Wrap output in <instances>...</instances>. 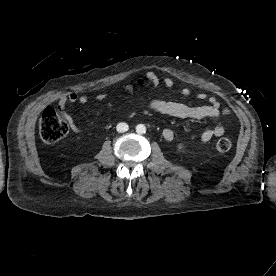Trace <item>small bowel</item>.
I'll return each mask as SVG.
<instances>
[{"mask_svg":"<svg viewBox=\"0 0 276 276\" xmlns=\"http://www.w3.org/2000/svg\"><path fill=\"white\" fill-rule=\"evenodd\" d=\"M163 83L167 89H171L174 85L173 80L169 77L160 78L154 72H147L143 76H140L137 80V83L142 86L146 87L148 85L157 86L160 83ZM124 91L127 93H132L133 89L132 86L127 85L124 87ZM191 94L190 89L183 88L180 91V95L182 97H187ZM106 94L101 93L96 96L98 101H103L106 99ZM198 100H205L208 98L206 93H199L196 95ZM209 104L205 105H197V106H190L181 102L176 101H167L162 99H155L150 102V109L154 112L179 118V119H194V120H201L204 118H217L223 113L226 116L231 115V111L229 109H224L223 111L220 110V104L214 97H209ZM88 102V98L85 95H78L76 93H69L67 95H61L58 99V108L63 117L68 122L71 130L75 133L79 132V126L76 124L73 117L65 111V108L68 103H80L86 104ZM227 129V124H219L211 129L204 130L201 135L200 139L202 142H208L213 137H220L224 135ZM162 136L165 140L171 141L174 139V131L172 129H164L162 132Z\"/></svg>","mask_w":276,"mask_h":276,"instance_id":"c3829d8e","label":"small bowel"}]
</instances>
